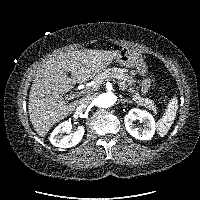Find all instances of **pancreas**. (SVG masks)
Segmentation results:
<instances>
[{"instance_id":"1","label":"pancreas","mask_w":200,"mask_h":200,"mask_svg":"<svg viewBox=\"0 0 200 200\" xmlns=\"http://www.w3.org/2000/svg\"><path fill=\"white\" fill-rule=\"evenodd\" d=\"M119 80L118 84L122 90L127 89L129 93H132V100L139 106H143L148 110H152L154 114H157V107L154 102L149 98H142L135 87L136 80L132 75L128 73L127 69L121 68H107L103 72L99 73L95 78V87H98L104 81L108 79Z\"/></svg>"}]
</instances>
